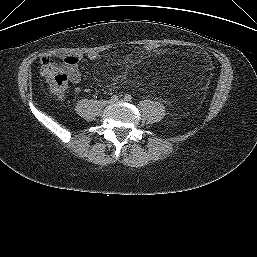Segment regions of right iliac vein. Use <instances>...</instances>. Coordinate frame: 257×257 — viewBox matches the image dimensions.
<instances>
[{
  "label": "right iliac vein",
  "instance_id": "63e3f726",
  "mask_svg": "<svg viewBox=\"0 0 257 257\" xmlns=\"http://www.w3.org/2000/svg\"><path fill=\"white\" fill-rule=\"evenodd\" d=\"M110 102L109 101H103V104L104 105H107V104H109Z\"/></svg>",
  "mask_w": 257,
  "mask_h": 257
}]
</instances>
